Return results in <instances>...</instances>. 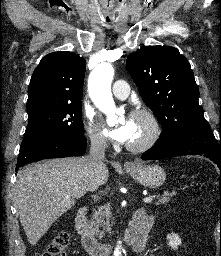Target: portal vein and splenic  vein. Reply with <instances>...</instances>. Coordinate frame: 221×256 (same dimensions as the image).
<instances>
[{
	"instance_id": "18ae733b",
	"label": "portal vein and splenic vein",
	"mask_w": 221,
	"mask_h": 256,
	"mask_svg": "<svg viewBox=\"0 0 221 256\" xmlns=\"http://www.w3.org/2000/svg\"><path fill=\"white\" fill-rule=\"evenodd\" d=\"M153 201V197H145L144 199H143V202L144 203H151Z\"/></svg>"
}]
</instances>
